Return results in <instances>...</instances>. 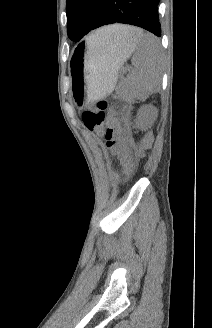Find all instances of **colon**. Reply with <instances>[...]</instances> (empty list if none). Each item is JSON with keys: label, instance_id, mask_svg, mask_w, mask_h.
<instances>
[{"label": "colon", "instance_id": "obj_1", "mask_svg": "<svg viewBox=\"0 0 212 328\" xmlns=\"http://www.w3.org/2000/svg\"><path fill=\"white\" fill-rule=\"evenodd\" d=\"M107 109L108 104L106 101H98L94 107L83 113L84 125L89 131L95 132L101 137L108 149L126 160L127 175L130 176L132 166L123 147L126 132L121 127L120 123L107 113Z\"/></svg>", "mask_w": 212, "mask_h": 328}]
</instances>
